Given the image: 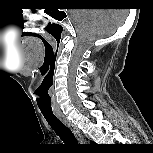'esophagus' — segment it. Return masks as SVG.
Returning a JSON list of instances; mask_svg holds the SVG:
<instances>
[{
  "instance_id": "obj_1",
  "label": "esophagus",
  "mask_w": 153,
  "mask_h": 153,
  "mask_svg": "<svg viewBox=\"0 0 153 153\" xmlns=\"http://www.w3.org/2000/svg\"><path fill=\"white\" fill-rule=\"evenodd\" d=\"M55 115L63 124H65L71 130V132L74 134L75 138L79 143L82 144L86 142V139L79 131V129L73 123H71L62 113L56 112Z\"/></svg>"
}]
</instances>
